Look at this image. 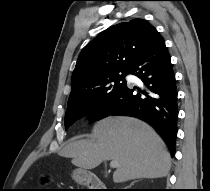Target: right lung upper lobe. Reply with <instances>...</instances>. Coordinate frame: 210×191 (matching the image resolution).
Instances as JSON below:
<instances>
[{
	"label": "right lung upper lobe",
	"instance_id": "right-lung-upper-lobe-1",
	"mask_svg": "<svg viewBox=\"0 0 210 191\" xmlns=\"http://www.w3.org/2000/svg\"><path fill=\"white\" fill-rule=\"evenodd\" d=\"M160 36L143 19H133L111 26L85 46L72 75L70 98L89 90L107 73L130 69L146 47Z\"/></svg>",
	"mask_w": 210,
	"mask_h": 191
}]
</instances>
